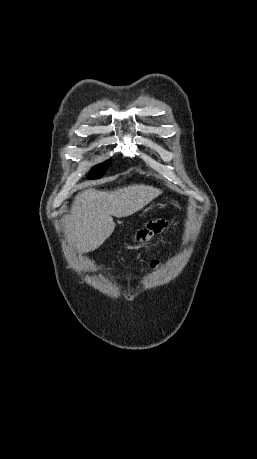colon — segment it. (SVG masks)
I'll return each mask as SVG.
<instances>
[{
    "instance_id": "obj_1",
    "label": "colon",
    "mask_w": 257,
    "mask_h": 459,
    "mask_svg": "<svg viewBox=\"0 0 257 459\" xmlns=\"http://www.w3.org/2000/svg\"><path fill=\"white\" fill-rule=\"evenodd\" d=\"M141 230H144V228L141 229ZM137 233H138V232H137ZM136 237H137V234H136ZM155 265H156V262H152V263H151V267H153V266H155Z\"/></svg>"
}]
</instances>
